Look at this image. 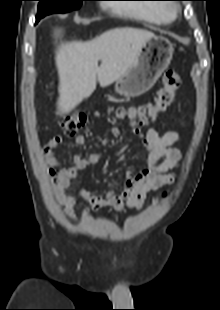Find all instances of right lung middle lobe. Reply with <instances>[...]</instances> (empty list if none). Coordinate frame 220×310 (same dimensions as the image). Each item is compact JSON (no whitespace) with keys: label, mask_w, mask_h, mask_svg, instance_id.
I'll return each mask as SVG.
<instances>
[{"label":"right lung middle lobe","mask_w":220,"mask_h":310,"mask_svg":"<svg viewBox=\"0 0 220 310\" xmlns=\"http://www.w3.org/2000/svg\"><path fill=\"white\" fill-rule=\"evenodd\" d=\"M37 17L43 18L52 13H66L80 8L83 1L87 0H38Z\"/></svg>","instance_id":"right-lung-middle-lobe-1"}]
</instances>
